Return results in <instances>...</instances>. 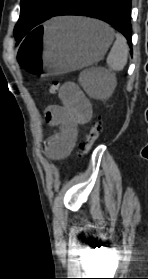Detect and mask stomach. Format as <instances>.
Here are the masks:
<instances>
[{
    "mask_svg": "<svg viewBox=\"0 0 148 279\" xmlns=\"http://www.w3.org/2000/svg\"><path fill=\"white\" fill-rule=\"evenodd\" d=\"M18 50L23 78L41 82L49 74L58 75L92 65L103 58L114 32L106 24L85 18H62L52 24H36ZM47 72V73H46Z\"/></svg>",
    "mask_w": 148,
    "mask_h": 279,
    "instance_id": "obj_1",
    "label": "stomach"
}]
</instances>
